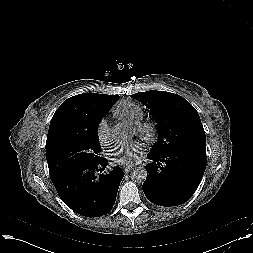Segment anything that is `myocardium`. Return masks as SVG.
Returning a JSON list of instances; mask_svg holds the SVG:
<instances>
[{"instance_id":"myocardium-1","label":"myocardium","mask_w":253,"mask_h":253,"mask_svg":"<svg viewBox=\"0 0 253 253\" xmlns=\"http://www.w3.org/2000/svg\"><path fill=\"white\" fill-rule=\"evenodd\" d=\"M134 132L147 142H152L157 134V126L152 120H143L134 125Z\"/></svg>"}]
</instances>
